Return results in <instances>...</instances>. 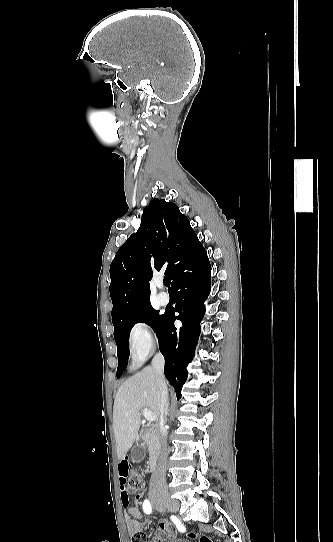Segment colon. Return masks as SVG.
<instances>
[{
  "label": "colon",
  "instance_id": "colon-1",
  "mask_svg": "<svg viewBox=\"0 0 333 542\" xmlns=\"http://www.w3.org/2000/svg\"><path fill=\"white\" fill-rule=\"evenodd\" d=\"M128 480V486L133 491H138L144 489L145 486V478L138 473L137 471L132 469V475L131 477H127ZM189 537L191 539H195L197 537L196 533L192 532L189 534ZM199 542H213V540L207 536V535H201L198 538ZM131 542H148V536L146 532L143 531H134L132 533Z\"/></svg>",
  "mask_w": 333,
  "mask_h": 542
}]
</instances>
